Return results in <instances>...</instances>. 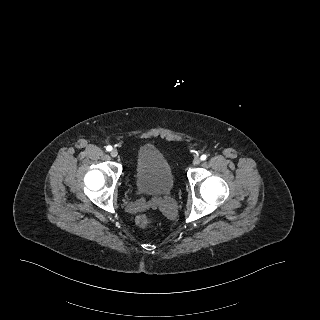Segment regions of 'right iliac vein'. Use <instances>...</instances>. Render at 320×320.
Here are the masks:
<instances>
[{"instance_id": "right-iliac-vein-1", "label": "right iliac vein", "mask_w": 320, "mask_h": 320, "mask_svg": "<svg viewBox=\"0 0 320 320\" xmlns=\"http://www.w3.org/2000/svg\"><path fill=\"white\" fill-rule=\"evenodd\" d=\"M117 155H118L117 150L113 149V150L111 151V156H112V157H116Z\"/></svg>"}]
</instances>
